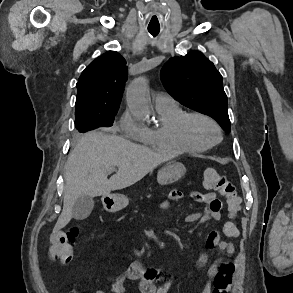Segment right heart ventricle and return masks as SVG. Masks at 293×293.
Segmentation results:
<instances>
[{"instance_id": "obj_1", "label": "right heart ventricle", "mask_w": 293, "mask_h": 293, "mask_svg": "<svg viewBox=\"0 0 293 293\" xmlns=\"http://www.w3.org/2000/svg\"><path fill=\"white\" fill-rule=\"evenodd\" d=\"M156 110L160 122L155 128L145 127L144 144L171 153L198 152L186 144L179 133V123L186 112L177 103Z\"/></svg>"}]
</instances>
